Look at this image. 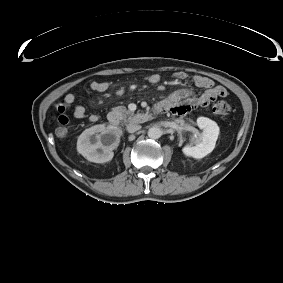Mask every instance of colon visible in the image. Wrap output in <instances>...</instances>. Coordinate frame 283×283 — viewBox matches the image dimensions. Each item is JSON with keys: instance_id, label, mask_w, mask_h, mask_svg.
<instances>
[{"instance_id": "1", "label": "colon", "mask_w": 283, "mask_h": 283, "mask_svg": "<svg viewBox=\"0 0 283 283\" xmlns=\"http://www.w3.org/2000/svg\"><path fill=\"white\" fill-rule=\"evenodd\" d=\"M212 111L217 116H226L230 113L231 107L226 101H218L213 105ZM67 122L68 119H62L60 121L62 125L56 129V136L60 139H63L68 135V128L66 127Z\"/></svg>"}]
</instances>
